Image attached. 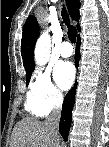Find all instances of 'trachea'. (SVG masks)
Listing matches in <instances>:
<instances>
[{
  "label": "trachea",
  "instance_id": "obj_1",
  "mask_svg": "<svg viewBox=\"0 0 109 147\" xmlns=\"http://www.w3.org/2000/svg\"><path fill=\"white\" fill-rule=\"evenodd\" d=\"M63 22L68 26V38L72 43L76 42L77 30L70 25V19L65 9L62 10Z\"/></svg>",
  "mask_w": 109,
  "mask_h": 147
}]
</instances>
